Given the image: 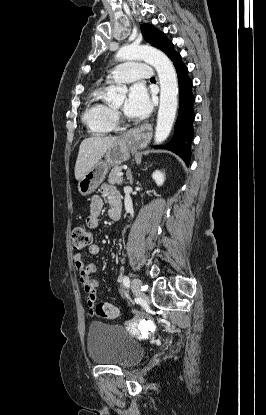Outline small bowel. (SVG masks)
I'll use <instances>...</instances> for the list:
<instances>
[{
    "label": "small bowel",
    "mask_w": 266,
    "mask_h": 415,
    "mask_svg": "<svg viewBox=\"0 0 266 415\" xmlns=\"http://www.w3.org/2000/svg\"><path fill=\"white\" fill-rule=\"evenodd\" d=\"M104 200L109 203V216L112 219H118L120 217L121 198L118 191L111 185H103L101 187V196L94 195L91 199L90 211L86 219V224L91 229H97L99 227ZM88 252L90 255H97L100 252V247L97 244H90ZM73 263L80 274V282L87 294V304L92 314L97 300V281L92 277L96 266L93 263L85 264L82 254L79 252L73 255Z\"/></svg>",
    "instance_id": "1"
}]
</instances>
